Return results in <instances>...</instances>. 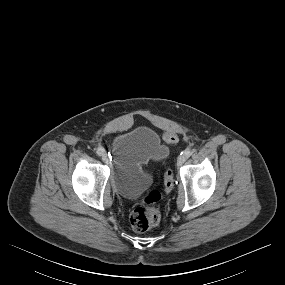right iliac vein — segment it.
I'll use <instances>...</instances> for the list:
<instances>
[{
  "label": "right iliac vein",
  "instance_id": "63e3f726",
  "mask_svg": "<svg viewBox=\"0 0 285 285\" xmlns=\"http://www.w3.org/2000/svg\"><path fill=\"white\" fill-rule=\"evenodd\" d=\"M102 160H103L105 163H108V162H109V157H108L107 153H103V154H102Z\"/></svg>",
  "mask_w": 285,
  "mask_h": 285
}]
</instances>
